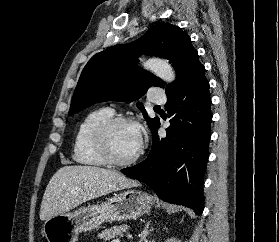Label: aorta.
Returning <instances> with one entry per match:
<instances>
[{"label":"aorta","mask_w":279,"mask_h":242,"mask_svg":"<svg viewBox=\"0 0 279 242\" xmlns=\"http://www.w3.org/2000/svg\"><path fill=\"white\" fill-rule=\"evenodd\" d=\"M144 67L154 73L156 76L165 82H172L175 80L176 74L171 65L160 58H151L144 62Z\"/></svg>","instance_id":"aorta-1"}]
</instances>
